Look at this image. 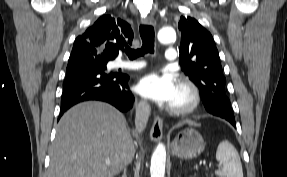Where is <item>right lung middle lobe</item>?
Masks as SVG:
<instances>
[{"instance_id":"dd1d6c3e","label":"right lung middle lobe","mask_w":287,"mask_h":177,"mask_svg":"<svg viewBox=\"0 0 287 177\" xmlns=\"http://www.w3.org/2000/svg\"><path fill=\"white\" fill-rule=\"evenodd\" d=\"M109 60L98 56H87L76 60L68 61L67 70L80 68L83 66H97L106 70V64Z\"/></svg>"}]
</instances>
